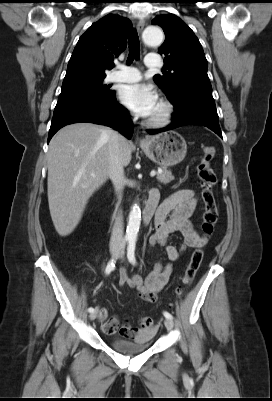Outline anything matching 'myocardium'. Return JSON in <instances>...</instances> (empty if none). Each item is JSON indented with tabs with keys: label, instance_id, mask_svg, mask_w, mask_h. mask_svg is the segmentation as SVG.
Returning a JSON list of instances; mask_svg holds the SVG:
<instances>
[{
	"label": "myocardium",
	"instance_id": "myocardium-1",
	"mask_svg": "<svg viewBox=\"0 0 272 401\" xmlns=\"http://www.w3.org/2000/svg\"><path fill=\"white\" fill-rule=\"evenodd\" d=\"M158 113L146 120L145 124L151 128H162L169 125L174 117V106L167 99L158 102Z\"/></svg>",
	"mask_w": 272,
	"mask_h": 401
}]
</instances>
